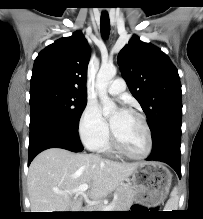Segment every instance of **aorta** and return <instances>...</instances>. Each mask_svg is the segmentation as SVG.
<instances>
[{
    "label": "aorta",
    "instance_id": "1",
    "mask_svg": "<svg viewBox=\"0 0 203 219\" xmlns=\"http://www.w3.org/2000/svg\"><path fill=\"white\" fill-rule=\"evenodd\" d=\"M116 73L117 69L114 65H102L96 77V88L103 106L104 116H110L117 110L116 104L107 94V87L115 77Z\"/></svg>",
    "mask_w": 203,
    "mask_h": 219
}]
</instances>
